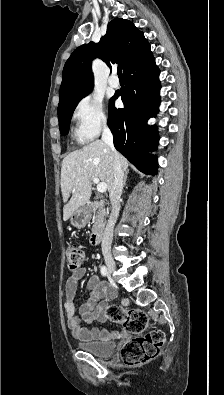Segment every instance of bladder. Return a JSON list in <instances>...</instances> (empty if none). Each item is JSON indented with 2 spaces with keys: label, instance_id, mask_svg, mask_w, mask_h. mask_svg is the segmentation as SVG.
<instances>
[{
  "label": "bladder",
  "instance_id": "obj_1",
  "mask_svg": "<svg viewBox=\"0 0 224 395\" xmlns=\"http://www.w3.org/2000/svg\"><path fill=\"white\" fill-rule=\"evenodd\" d=\"M77 347L93 356L107 357L114 353L116 344L112 341H86L77 343Z\"/></svg>",
  "mask_w": 224,
  "mask_h": 395
}]
</instances>
